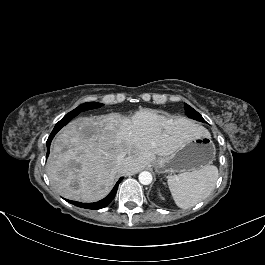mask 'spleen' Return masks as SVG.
Segmentation results:
<instances>
[{
  "mask_svg": "<svg viewBox=\"0 0 265 265\" xmlns=\"http://www.w3.org/2000/svg\"><path fill=\"white\" fill-rule=\"evenodd\" d=\"M217 178V167L207 165L199 170L169 176L167 182L176 205L187 209L211 193Z\"/></svg>",
  "mask_w": 265,
  "mask_h": 265,
  "instance_id": "obj_1",
  "label": "spleen"
}]
</instances>
